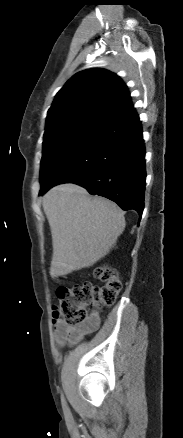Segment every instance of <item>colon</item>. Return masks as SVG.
Listing matches in <instances>:
<instances>
[{"label":"colon","mask_w":183,"mask_h":438,"mask_svg":"<svg viewBox=\"0 0 183 438\" xmlns=\"http://www.w3.org/2000/svg\"><path fill=\"white\" fill-rule=\"evenodd\" d=\"M94 275L102 285L85 282L57 289L60 306L54 311L55 321L60 319L70 327H81L88 318L89 308L114 303L122 289L117 272L108 266H98Z\"/></svg>","instance_id":"5ec220e1"}]
</instances>
